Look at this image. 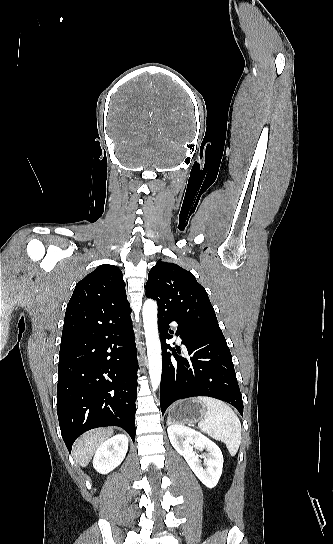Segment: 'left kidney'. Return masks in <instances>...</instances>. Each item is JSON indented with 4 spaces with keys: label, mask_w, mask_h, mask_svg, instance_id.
Wrapping results in <instances>:
<instances>
[{
    "label": "left kidney",
    "mask_w": 333,
    "mask_h": 544,
    "mask_svg": "<svg viewBox=\"0 0 333 544\" xmlns=\"http://www.w3.org/2000/svg\"><path fill=\"white\" fill-rule=\"evenodd\" d=\"M172 446L187 461L198 479L208 488L217 485L223 469V454L220 448L212 440L202 433L183 425H171L167 429ZM193 447L199 450L206 449L208 453L198 456ZM199 457L207 462L204 469Z\"/></svg>",
    "instance_id": "5707ae66"
}]
</instances>
